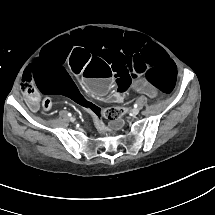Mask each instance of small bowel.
Returning <instances> with one entry per match:
<instances>
[{"instance_id": "1", "label": "small bowel", "mask_w": 215, "mask_h": 215, "mask_svg": "<svg viewBox=\"0 0 215 215\" xmlns=\"http://www.w3.org/2000/svg\"><path fill=\"white\" fill-rule=\"evenodd\" d=\"M112 99L116 102H122L124 99V94L119 91H115L112 94ZM76 102H77V100H76ZM28 104L32 110H34V111L37 110L38 106H39V98L37 96L29 97Z\"/></svg>"}]
</instances>
